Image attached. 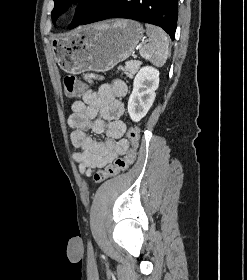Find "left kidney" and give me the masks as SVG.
Returning <instances> with one entry per match:
<instances>
[{"mask_svg": "<svg viewBox=\"0 0 247 280\" xmlns=\"http://www.w3.org/2000/svg\"><path fill=\"white\" fill-rule=\"evenodd\" d=\"M159 86V71L152 66L140 69L134 78L133 91L128 100V113L134 122L140 121L151 108Z\"/></svg>", "mask_w": 247, "mask_h": 280, "instance_id": "left-kidney-1", "label": "left kidney"}]
</instances>
